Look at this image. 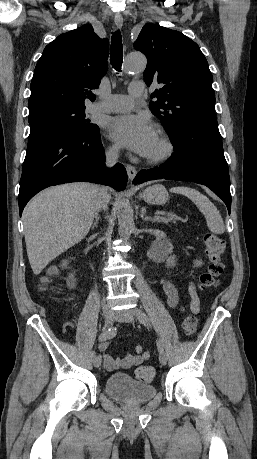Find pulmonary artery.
<instances>
[{
  "instance_id": "obj_1",
  "label": "pulmonary artery",
  "mask_w": 257,
  "mask_h": 459,
  "mask_svg": "<svg viewBox=\"0 0 257 459\" xmlns=\"http://www.w3.org/2000/svg\"><path fill=\"white\" fill-rule=\"evenodd\" d=\"M144 93L142 81H133L128 87V95H110L104 101L94 103L91 107L97 112H121L130 109L134 100Z\"/></svg>"
}]
</instances>
